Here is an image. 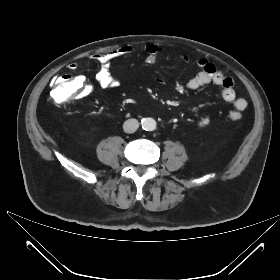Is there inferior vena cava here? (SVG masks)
<instances>
[{"instance_id":"1","label":"inferior vena cava","mask_w":280,"mask_h":280,"mask_svg":"<svg viewBox=\"0 0 280 280\" xmlns=\"http://www.w3.org/2000/svg\"><path fill=\"white\" fill-rule=\"evenodd\" d=\"M139 127V122L136 119H128L123 124V129L126 133H134Z\"/></svg>"}]
</instances>
